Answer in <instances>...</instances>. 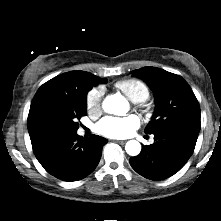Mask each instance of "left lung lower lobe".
<instances>
[{
	"mask_svg": "<svg viewBox=\"0 0 221 221\" xmlns=\"http://www.w3.org/2000/svg\"><path fill=\"white\" fill-rule=\"evenodd\" d=\"M198 134L184 128L170 127L154 133L150 146L130 158L132 168L145 178L163 180L178 172L193 154Z\"/></svg>",
	"mask_w": 221,
	"mask_h": 221,
	"instance_id": "left-lung-lower-lobe-1",
	"label": "left lung lower lobe"
}]
</instances>
